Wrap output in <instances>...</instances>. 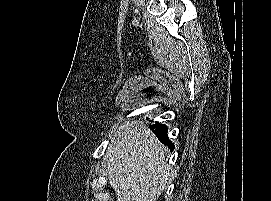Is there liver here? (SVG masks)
<instances>
[{"mask_svg":"<svg viewBox=\"0 0 271 201\" xmlns=\"http://www.w3.org/2000/svg\"><path fill=\"white\" fill-rule=\"evenodd\" d=\"M104 156L117 201H156L171 178L165 148L147 126L127 123Z\"/></svg>","mask_w":271,"mask_h":201,"instance_id":"liver-1","label":"liver"}]
</instances>
